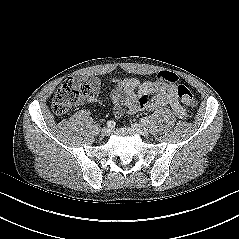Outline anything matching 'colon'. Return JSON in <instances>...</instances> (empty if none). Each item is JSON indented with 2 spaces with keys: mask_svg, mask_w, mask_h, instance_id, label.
I'll use <instances>...</instances> for the list:
<instances>
[{
  "mask_svg": "<svg viewBox=\"0 0 239 239\" xmlns=\"http://www.w3.org/2000/svg\"><path fill=\"white\" fill-rule=\"evenodd\" d=\"M157 78L171 84H177L179 81L177 74L170 71L160 72ZM176 91L181 103L188 107L196 106V97L187 86L179 84L176 87ZM87 96L88 89L83 83L73 78H67L60 84L55 92L52 100V109L56 115L63 116L70 109L83 104Z\"/></svg>",
  "mask_w": 239,
  "mask_h": 239,
  "instance_id": "obj_1",
  "label": "colon"
}]
</instances>
